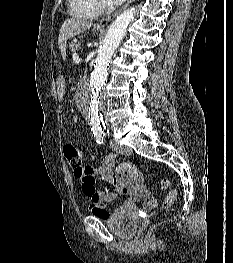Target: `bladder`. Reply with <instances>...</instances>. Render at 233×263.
Returning <instances> with one entry per match:
<instances>
[{
    "label": "bladder",
    "instance_id": "31cf9c89",
    "mask_svg": "<svg viewBox=\"0 0 233 263\" xmlns=\"http://www.w3.org/2000/svg\"><path fill=\"white\" fill-rule=\"evenodd\" d=\"M138 221L139 216L133 208H118L105 220L108 228L123 238L134 236Z\"/></svg>",
    "mask_w": 233,
    "mask_h": 263
}]
</instances>
